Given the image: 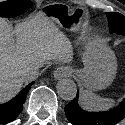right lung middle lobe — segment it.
<instances>
[{"instance_id": "obj_1", "label": "right lung middle lobe", "mask_w": 125, "mask_h": 125, "mask_svg": "<svg viewBox=\"0 0 125 125\" xmlns=\"http://www.w3.org/2000/svg\"><path fill=\"white\" fill-rule=\"evenodd\" d=\"M30 0H7L0 2V17H15L31 7Z\"/></svg>"}]
</instances>
